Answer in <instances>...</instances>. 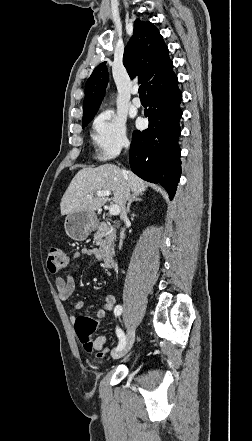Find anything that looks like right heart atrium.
<instances>
[{
  "label": "right heart atrium",
  "mask_w": 252,
  "mask_h": 441,
  "mask_svg": "<svg viewBox=\"0 0 252 441\" xmlns=\"http://www.w3.org/2000/svg\"><path fill=\"white\" fill-rule=\"evenodd\" d=\"M92 141L98 159L105 161L119 155L129 146L125 118L110 110L101 112L93 121Z\"/></svg>",
  "instance_id": "right-heart-atrium-1"
}]
</instances>
